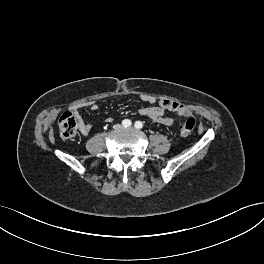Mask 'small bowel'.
Returning <instances> with one entry per match:
<instances>
[{
    "mask_svg": "<svg viewBox=\"0 0 264 264\" xmlns=\"http://www.w3.org/2000/svg\"><path fill=\"white\" fill-rule=\"evenodd\" d=\"M142 100L149 104L155 103V98L150 96L143 97ZM83 106L89 107L92 111L98 110V105L94 102H87ZM166 110L177 112L178 114L183 116L191 115V112L187 107L183 106L180 103L167 99L162 100L158 106L143 107L139 110V113L142 116L148 117L160 124H163L165 126H171L174 123V120L170 117L165 116ZM75 114L78 119V128L81 134L87 136L91 132L92 125L83 120L77 109L75 110ZM110 120L111 119L108 118L107 122H110Z\"/></svg>",
    "mask_w": 264,
    "mask_h": 264,
    "instance_id": "1",
    "label": "small bowel"
}]
</instances>
